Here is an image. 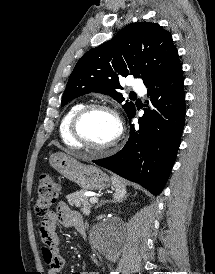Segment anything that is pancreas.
Listing matches in <instances>:
<instances>
[{
    "mask_svg": "<svg viewBox=\"0 0 215 274\" xmlns=\"http://www.w3.org/2000/svg\"><path fill=\"white\" fill-rule=\"evenodd\" d=\"M69 205L75 207H81V211L85 215H89L91 204L88 203V198L85 196L83 190L77 191L67 196Z\"/></svg>",
    "mask_w": 215,
    "mask_h": 274,
    "instance_id": "pancreas-1",
    "label": "pancreas"
}]
</instances>
